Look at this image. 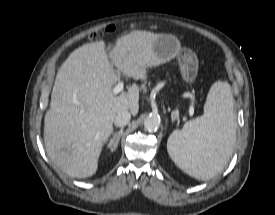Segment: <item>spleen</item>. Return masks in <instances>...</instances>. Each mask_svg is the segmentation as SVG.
Returning <instances> with one entry per match:
<instances>
[{
  "label": "spleen",
  "instance_id": "3e777b00",
  "mask_svg": "<svg viewBox=\"0 0 275 215\" xmlns=\"http://www.w3.org/2000/svg\"><path fill=\"white\" fill-rule=\"evenodd\" d=\"M236 141L233 97L227 82H215L204 105V115L175 130L167 142L174 163L198 180H209L227 164Z\"/></svg>",
  "mask_w": 275,
  "mask_h": 215
}]
</instances>
